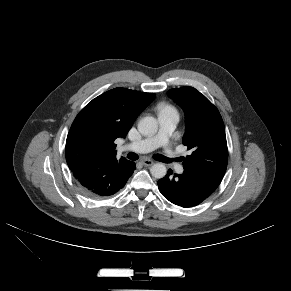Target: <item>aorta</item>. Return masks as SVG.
<instances>
[{"mask_svg":"<svg viewBox=\"0 0 291 291\" xmlns=\"http://www.w3.org/2000/svg\"><path fill=\"white\" fill-rule=\"evenodd\" d=\"M138 131L144 136H153L158 131V122L152 116H146L142 118L138 123ZM150 172L153 177L157 179L163 178L167 169L163 163H155L152 165Z\"/></svg>","mask_w":291,"mask_h":291,"instance_id":"762f6f07","label":"aorta"}]
</instances>
